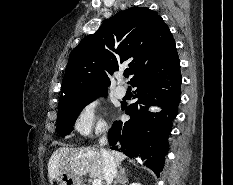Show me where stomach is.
<instances>
[{
	"label": "stomach",
	"instance_id": "obj_1",
	"mask_svg": "<svg viewBox=\"0 0 233 185\" xmlns=\"http://www.w3.org/2000/svg\"><path fill=\"white\" fill-rule=\"evenodd\" d=\"M59 185H81V179L68 172H60L55 177Z\"/></svg>",
	"mask_w": 233,
	"mask_h": 185
}]
</instances>
